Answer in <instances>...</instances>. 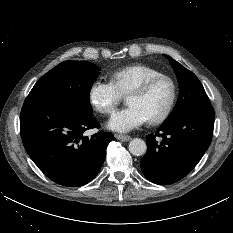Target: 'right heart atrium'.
I'll use <instances>...</instances> for the list:
<instances>
[{"label":"right heart atrium","instance_id":"1","mask_svg":"<svg viewBox=\"0 0 233 233\" xmlns=\"http://www.w3.org/2000/svg\"><path fill=\"white\" fill-rule=\"evenodd\" d=\"M88 97L96 111L103 115H110L123 96L111 81L96 79L89 88Z\"/></svg>","mask_w":233,"mask_h":233}]
</instances>
